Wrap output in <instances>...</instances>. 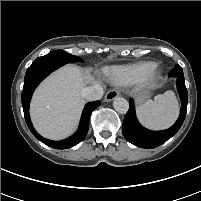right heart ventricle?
<instances>
[{"label":"right heart ventricle","instance_id":"obj_1","mask_svg":"<svg viewBox=\"0 0 201 201\" xmlns=\"http://www.w3.org/2000/svg\"><path fill=\"white\" fill-rule=\"evenodd\" d=\"M155 68L156 64L154 62L147 61L113 67L107 73L113 83L127 85L144 80Z\"/></svg>","mask_w":201,"mask_h":201}]
</instances>
